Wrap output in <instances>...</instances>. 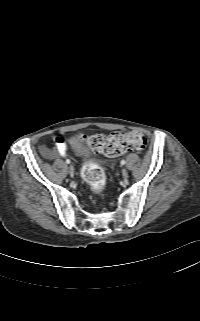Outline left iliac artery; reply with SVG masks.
Wrapping results in <instances>:
<instances>
[{
  "label": "left iliac artery",
  "mask_w": 200,
  "mask_h": 321,
  "mask_svg": "<svg viewBox=\"0 0 200 321\" xmlns=\"http://www.w3.org/2000/svg\"><path fill=\"white\" fill-rule=\"evenodd\" d=\"M126 164V161L125 160H122L121 161V165H125Z\"/></svg>",
  "instance_id": "left-iliac-artery-1"
}]
</instances>
